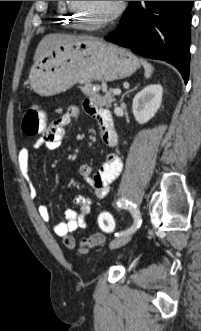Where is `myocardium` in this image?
I'll use <instances>...</instances> for the list:
<instances>
[{
    "label": "myocardium",
    "instance_id": "obj_1",
    "mask_svg": "<svg viewBox=\"0 0 201 331\" xmlns=\"http://www.w3.org/2000/svg\"><path fill=\"white\" fill-rule=\"evenodd\" d=\"M68 2H69V7L76 15V18H78L82 24L93 28L104 27L110 24L122 13L124 9V1H116L114 9L107 16H105L104 18L100 19L95 23H90L83 19V15L81 14V11L79 10V7L75 1H68Z\"/></svg>",
    "mask_w": 201,
    "mask_h": 331
}]
</instances>
